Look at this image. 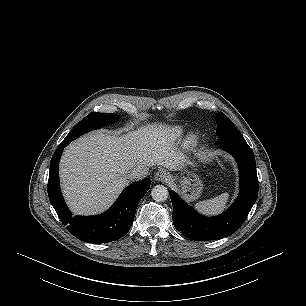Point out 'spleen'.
Returning a JSON list of instances; mask_svg holds the SVG:
<instances>
[{
  "label": "spleen",
  "instance_id": "spleen-1",
  "mask_svg": "<svg viewBox=\"0 0 306 306\" xmlns=\"http://www.w3.org/2000/svg\"><path fill=\"white\" fill-rule=\"evenodd\" d=\"M228 199L229 193H223L215 198L200 201L195 205V208L202 214L215 215L225 209Z\"/></svg>",
  "mask_w": 306,
  "mask_h": 306
}]
</instances>
